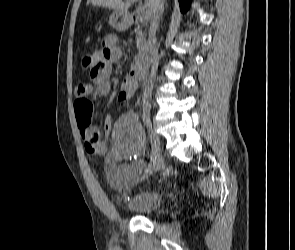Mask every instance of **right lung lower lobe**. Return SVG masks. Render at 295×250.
Wrapping results in <instances>:
<instances>
[{
	"instance_id": "obj_1",
	"label": "right lung lower lobe",
	"mask_w": 295,
	"mask_h": 250,
	"mask_svg": "<svg viewBox=\"0 0 295 250\" xmlns=\"http://www.w3.org/2000/svg\"><path fill=\"white\" fill-rule=\"evenodd\" d=\"M180 4V9L184 13L187 11L190 5V0H178Z\"/></svg>"
}]
</instances>
